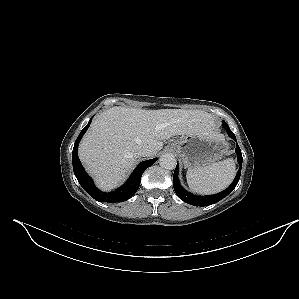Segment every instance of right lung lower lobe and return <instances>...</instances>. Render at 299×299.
<instances>
[{"label": "right lung lower lobe", "instance_id": "1", "mask_svg": "<svg viewBox=\"0 0 299 299\" xmlns=\"http://www.w3.org/2000/svg\"><path fill=\"white\" fill-rule=\"evenodd\" d=\"M91 121L92 118L88 122L87 126L82 129L74 144V148L72 152L74 174L78 182L82 186V188L95 200L99 202H109V203L125 201L131 198L136 193L137 189L139 188L140 180L143 172L148 167H150L157 160V158L141 162L133 171V173L131 174L130 178L126 181V183L121 187H119L116 191L109 192V193L101 192L95 187L93 180L85 172L77 154L79 142L82 136L84 135V133L86 132V130L88 129V127L90 126Z\"/></svg>", "mask_w": 299, "mask_h": 299}]
</instances>
